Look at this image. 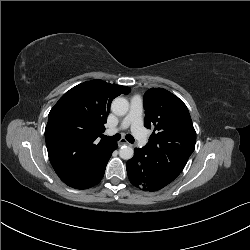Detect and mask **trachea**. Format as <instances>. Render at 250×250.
Instances as JSON below:
<instances>
[{
  "label": "trachea",
  "instance_id": "3493384b",
  "mask_svg": "<svg viewBox=\"0 0 250 250\" xmlns=\"http://www.w3.org/2000/svg\"><path fill=\"white\" fill-rule=\"evenodd\" d=\"M120 138H121L120 134H115L114 136H105V135L103 136L104 140L113 141V142H117ZM125 138L131 144H133L135 141L134 137L131 134H127Z\"/></svg>",
  "mask_w": 250,
  "mask_h": 250
}]
</instances>
